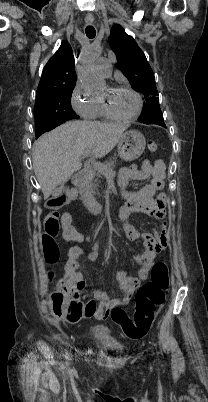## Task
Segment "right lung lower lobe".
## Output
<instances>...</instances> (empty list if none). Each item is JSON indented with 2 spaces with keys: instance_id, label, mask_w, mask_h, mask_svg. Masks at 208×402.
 I'll return each instance as SVG.
<instances>
[{
  "instance_id": "obj_1",
  "label": "right lung lower lobe",
  "mask_w": 208,
  "mask_h": 402,
  "mask_svg": "<svg viewBox=\"0 0 208 402\" xmlns=\"http://www.w3.org/2000/svg\"><path fill=\"white\" fill-rule=\"evenodd\" d=\"M62 123H64V122L54 119V118L38 120V121H36V130L40 131V135H41L47 131L54 129L55 127L59 126ZM40 135H38V137Z\"/></svg>"
}]
</instances>
